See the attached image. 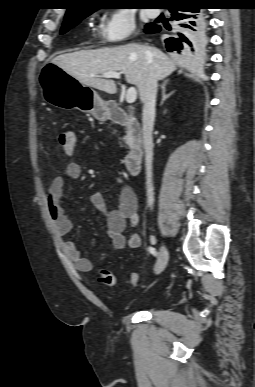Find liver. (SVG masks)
Wrapping results in <instances>:
<instances>
[{
    "label": "liver",
    "mask_w": 255,
    "mask_h": 387,
    "mask_svg": "<svg viewBox=\"0 0 255 387\" xmlns=\"http://www.w3.org/2000/svg\"><path fill=\"white\" fill-rule=\"evenodd\" d=\"M52 63L81 84L108 94H115L117 87L115 81L100 77L103 73H123L127 83L135 85L140 94L151 72L163 80L176 70V64L162 51L138 44L65 53Z\"/></svg>",
    "instance_id": "6515ba94"
}]
</instances>
